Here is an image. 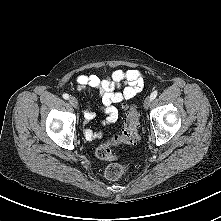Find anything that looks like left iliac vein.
Instances as JSON below:
<instances>
[{"mask_svg": "<svg viewBox=\"0 0 221 221\" xmlns=\"http://www.w3.org/2000/svg\"><path fill=\"white\" fill-rule=\"evenodd\" d=\"M151 101H152V100H151L150 97H147V98L144 100L143 106H144L145 109H148V108L150 107Z\"/></svg>", "mask_w": 221, "mask_h": 221, "instance_id": "obj_1", "label": "left iliac vein"}]
</instances>
